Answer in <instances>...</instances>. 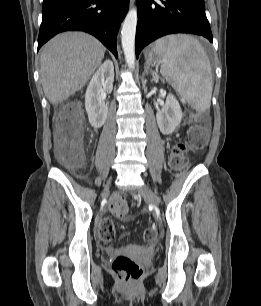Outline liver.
<instances>
[{"instance_id": "obj_1", "label": "liver", "mask_w": 261, "mask_h": 306, "mask_svg": "<svg viewBox=\"0 0 261 306\" xmlns=\"http://www.w3.org/2000/svg\"><path fill=\"white\" fill-rule=\"evenodd\" d=\"M104 46L83 32L59 34L41 53V82L46 98L58 104L79 91L101 64Z\"/></svg>"}]
</instances>
